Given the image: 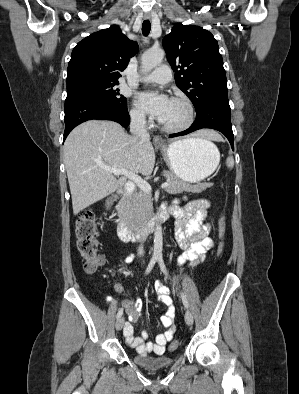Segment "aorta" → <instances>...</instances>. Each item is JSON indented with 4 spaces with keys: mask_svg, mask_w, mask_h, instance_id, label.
I'll use <instances>...</instances> for the list:
<instances>
[{
    "mask_svg": "<svg viewBox=\"0 0 299 394\" xmlns=\"http://www.w3.org/2000/svg\"><path fill=\"white\" fill-rule=\"evenodd\" d=\"M164 51L160 48L158 49H151L146 51L142 55V71L147 73L151 71L153 68L158 66L163 58H164ZM162 245H163V236H162V227L161 225H156L155 232H154V256L162 254Z\"/></svg>",
    "mask_w": 299,
    "mask_h": 394,
    "instance_id": "1",
    "label": "aorta"
}]
</instances>
